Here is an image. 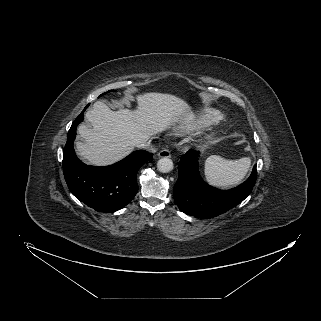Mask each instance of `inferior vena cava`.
<instances>
[{
  "instance_id": "602c4592",
  "label": "inferior vena cava",
  "mask_w": 321,
  "mask_h": 321,
  "mask_svg": "<svg viewBox=\"0 0 321 321\" xmlns=\"http://www.w3.org/2000/svg\"><path fill=\"white\" fill-rule=\"evenodd\" d=\"M137 147L151 151L152 153L156 152V148L151 145V140L137 145Z\"/></svg>"
}]
</instances>
